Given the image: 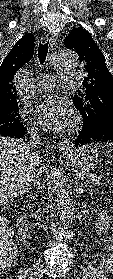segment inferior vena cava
Here are the masks:
<instances>
[{
  "instance_id": "1",
  "label": "inferior vena cava",
  "mask_w": 113,
  "mask_h": 279,
  "mask_svg": "<svg viewBox=\"0 0 113 279\" xmlns=\"http://www.w3.org/2000/svg\"><path fill=\"white\" fill-rule=\"evenodd\" d=\"M30 134V148L34 153H37L34 148L38 147L40 145V137L38 135V132L36 129L31 128L29 131ZM33 184L36 186L37 192H41L44 186V180L41 178V175L39 172H37L33 179Z\"/></svg>"
}]
</instances>
